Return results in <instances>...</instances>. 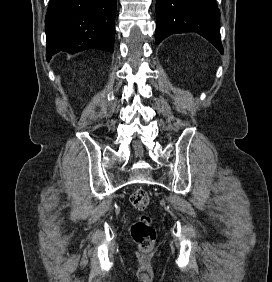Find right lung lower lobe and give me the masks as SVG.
Returning a JSON list of instances; mask_svg holds the SVG:
<instances>
[{"mask_svg":"<svg viewBox=\"0 0 272 282\" xmlns=\"http://www.w3.org/2000/svg\"><path fill=\"white\" fill-rule=\"evenodd\" d=\"M116 0H50L46 24V58L86 49L113 52Z\"/></svg>","mask_w":272,"mask_h":282,"instance_id":"98d812e1","label":"right lung lower lobe"}]
</instances>
